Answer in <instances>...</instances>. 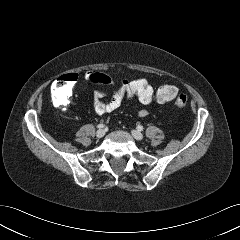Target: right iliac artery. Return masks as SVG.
<instances>
[{
	"instance_id": "1",
	"label": "right iliac artery",
	"mask_w": 240,
	"mask_h": 240,
	"mask_svg": "<svg viewBox=\"0 0 240 240\" xmlns=\"http://www.w3.org/2000/svg\"><path fill=\"white\" fill-rule=\"evenodd\" d=\"M97 127H98V128H103V127H105V125H104V124H98Z\"/></svg>"
}]
</instances>
